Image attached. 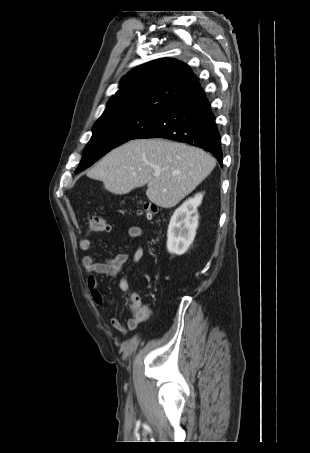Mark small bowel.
Listing matches in <instances>:
<instances>
[{
    "label": "small bowel",
    "mask_w": 310,
    "mask_h": 453,
    "mask_svg": "<svg viewBox=\"0 0 310 453\" xmlns=\"http://www.w3.org/2000/svg\"><path fill=\"white\" fill-rule=\"evenodd\" d=\"M127 235L130 239L134 240L140 239L143 236V230L139 226H131L127 230ZM92 243L93 241L91 238H82L79 241V247L82 250H89L92 247ZM143 256H144L143 247H138L133 253V256L131 258V265L137 264L142 259ZM128 260L129 255L127 253H119L115 255L113 258H110L106 261H98L93 256L83 257L82 264L88 273L86 280L87 289L89 291L91 299L96 305L102 306L104 303L103 295L98 288V281L96 275L116 277L124 270V267L127 264ZM128 271L129 269L126 270L125 274L121 277L119 281V288L124 294L130 293V284L127 276ZM132 298H138L140 300V297L137 294H132L131 299ZM146 318H138L132 313V316L128 318L125 322H122L117 317H112L110 319V323L112 327L119 333L126 334L128 331L136 329L138 325Z\"/></svg>",
    "instance_id": "small-bowel-1"
}]
</instances>
